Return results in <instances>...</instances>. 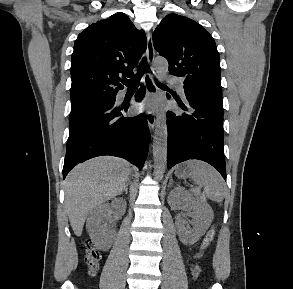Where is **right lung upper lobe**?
<instances>
[{"label":"right lung upper lobe","instance_id":"right-lung-upper-lobe-1","mask_svg":"<svg viewBox=\"0 0 293 289\" xmlns=\"http://www.w3.org/2000/svg\"><path fill=\"white\" fill-rule=\"evenodd\" d=\"M146 42L144 31L138 30L124 13L87 27L74 44L71 103L116 96L123 89L120 77L134 74Z\"/></svg>","mask_w":293,"mask_h":289}]
</instances>
